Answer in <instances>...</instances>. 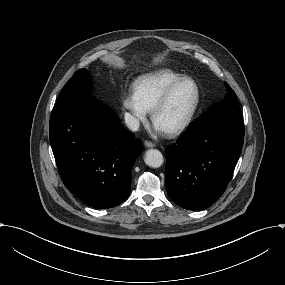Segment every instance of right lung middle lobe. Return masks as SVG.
I'll list each match as a JSON object with an SVG mask.
<instances>
[{
    "label": "right lung middle lobe",
    "instance_id": "right-lung-middle-lobe-1",
    "mask_svg": "<svg viewBox=\"0 0 285 285\" xmlns=\"http://www.w3.org/2000/svg\"><path fill=\"white\" fill-rule=\"evenodd\" d=\"M91 89L92 82L89 73L86 71V69H80L65 84L57 102L73 97L89 95Z\"/></svg>",
    "mask_w": 285,
    "mask_h": 285
}]
</instances>
